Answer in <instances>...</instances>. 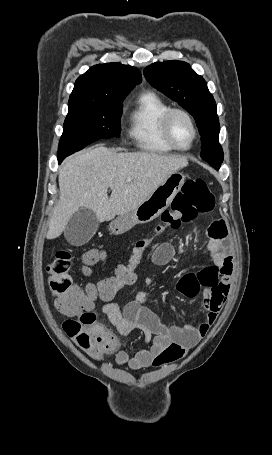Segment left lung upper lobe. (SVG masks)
Segmentation results:
<instances>
[{
	"instance_id": "obj_1",
	"label": "left lung upper lobe",
	"mask_w": 272,
	"mask_h": 455,
	"mask_svg": "<svg viewBox=\"0 0 272 455\" xmlns=\"http://www.w3.org/2000/svg\"><path fill=\"white\" fill-rule=\"evenodd\" d=\"M147 81L176 101L196 120L202 142L201 157L209 164L223 162V150L218 142L220 131L216 103L205 80L186 62H156L144 69Z\"/></svg>"
}]
</instances>
